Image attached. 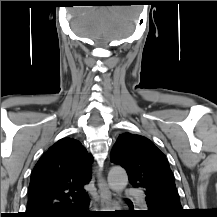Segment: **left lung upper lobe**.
<instances>
[{"mask_svg":"<svg viewBox=\"0 0 217 217\" xmlns=\"http://www.w3.org/2000/svg\"><path fill=\"white\" fill-rule=\"evenodd\" d=\"M111 162L126 169L134 187L144 189L150 210L172 217L182 213L174 175L165 155L152 141L131 133L119 135Z\"/></svg>","mask_w":217,"mask_h":217,"instance_id":"1","label":"left lung upper lobe"}]
</instances>
